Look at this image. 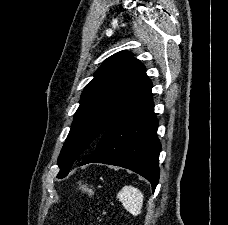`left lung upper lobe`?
I'll list each match as a JSON object with an SVG mask.
<instances>
[{"mask_svg":"<svg viewBox=\"0 0 228 225\" xmlns=\"http://www.w3.org/2000/svg\"><path fill=\"white\" fill-rule=\"evenodd\" d=\"M145 66L128 51L106 59L81 95L71 130L58 158L64 178L78 158H85L117 119L151 92Z\"/></svg>","mask_w":228,"mask_h":225,"instance_id":"left-lung-upper-lobe-1","label":"left lung upper lobe"}]
</instances>
